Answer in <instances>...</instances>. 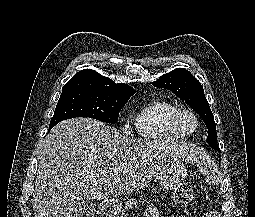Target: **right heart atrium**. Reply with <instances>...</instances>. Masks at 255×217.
<instances>
[{
    "label": "right heart atrium",
    "mask_w": 255,
    "mask_h": 217,
    "mask_svg": "<svg viewBox=\"0 0 255 217\" xmlns=\"http://www.w3.org/2000/svg\"><path fill=\"white\" fill-rule=\"evenodd\" d=\"M128 128L127 127H124V130L126 131Z\"/></svg>",
    "instance_id": "1"
}]
</instances>
